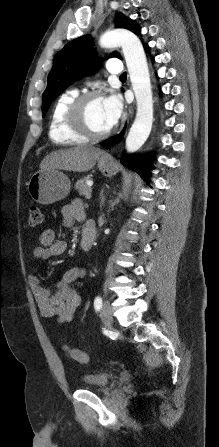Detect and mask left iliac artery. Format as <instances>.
<instances>
[{
	"label": "left iliac artery",
	"instance_id": "left-iliac-artery-1",
	"mask_svg": "<svg viewBox=\"0 0 219 447\" xmlns=\"http://www.w3.org/2000/svg\"><path fill=\"white\" fill-rule=\"evenodd\" d=\"M94 307L96 311H99L102 308V298L101 297H96L94 300Z\"/></svg>",
	"mask_w": 219,
	"mask_h": 447
}]
</instances>
